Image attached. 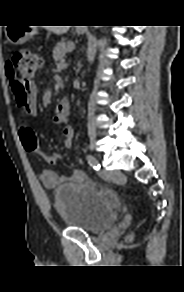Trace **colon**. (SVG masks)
Wrapping results in <instances>:
<instances>
[{
    "label": "colon",
    "instance_id": "obj_1",
    "mask_svg": "<svg viewBox=\"0 0 184 292\" xmlns=\"http://www.w3.org/2000/svg\"><path fill=\"white\" fill-rule=\"evenodd\" d=\"M41 66L42 57L39 54L19 50L8 61L6 72L10 85L17 94V106L23 121L20 139L24 149L46 162L56 163L61 156L39 145L36 134L28 123L39 110L38 94L36 88L32 86V79Z\"/></svg>",
    "mask_w": 184,
    "mask_h": 292
}]
</instances>
